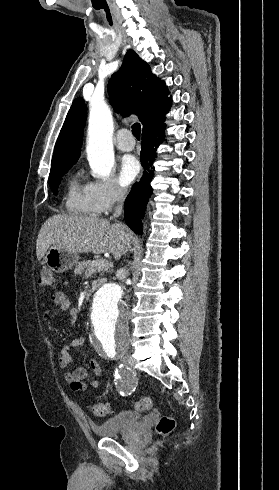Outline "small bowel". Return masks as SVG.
<instances>
[{
  "label": "small bowel",
  "mask_w": 279,
  "mask_h": 490,
  "mask_svg": "<svg viewBox=\"0 0 279 490\" xmlns=\"http://www.w3.org/2000/svg\"><path fill=\"white\" fill-rule=\"evenodd\" d=\"M70 307L71 302L67 298V296L63 292H57L52 297V305L49 308V312H52L53 310L67 311L70 309ZM83 343V337H77L71 340L61 350L58 360L59 366L65 370L64 380L70 384L72 390L74 391H83L87 387L86 384L82 382V380L85 379L87 376V371L84 367H78L74 371L69 370V367L72 363L70 351L73 348L81 346ZM90 365L94 373L99 378H103L105 376L104 369L96 360H91ZM89 385L93 388H97L99 387L100 382L98 379H92L90 380Z\"/></svg>",
  "instance_id": "small-bowel-1"
}]
</instances>
